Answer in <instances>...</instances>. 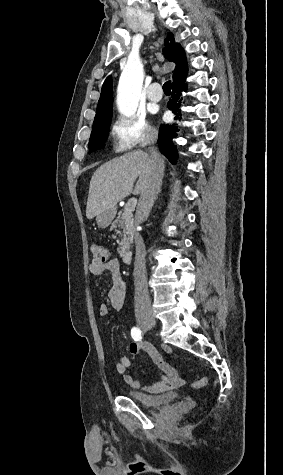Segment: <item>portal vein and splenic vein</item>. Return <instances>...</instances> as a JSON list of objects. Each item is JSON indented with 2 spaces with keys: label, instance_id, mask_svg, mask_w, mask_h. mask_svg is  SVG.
Returning a JSON list of instances; mask_svg holds the SVG:
<instances>
[{
  "label": "portal vein and splenic vein",
  "instance_id": "18ae733b",
  "mask_svg": "<svg viewBox=\"0 0 283 475\" xmlns=\"http://www.w3.org/2000/svg\"><path fill=\"white\" fill-rule=\"evenodd\" d=\"M130 202H132V200H129V202L126 206V210H130V212H132V210H131L132 206H131Z\"/></svg>",
  "mask_w": 283,
  "mask_h": 475
}]
</instances>
